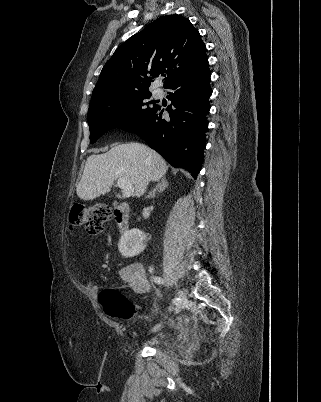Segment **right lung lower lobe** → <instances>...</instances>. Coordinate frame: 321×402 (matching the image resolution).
<instances>
[{
  "label": "right lung lower lobe",
  "mask_w": 321,
  "mask_h": 402,
  "mask_svg": "<svg viewBox=\"0 0 321 402\" xmlns=\"http://www.w3.org/2000/svg\"><path fill=\"white\" fill-rule=\"evenodd\" d=\"M210 70L208 65L181 76L165 88L170 89L169 118L157 106L139 122L121 129L144 139L172 166L182 167L197 178L206 146V114L210 110Z\"/></svg>",
  "instance_id": "obj_1"
}]
</instances>
